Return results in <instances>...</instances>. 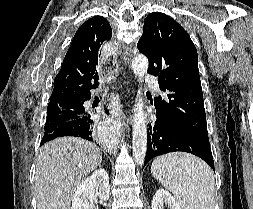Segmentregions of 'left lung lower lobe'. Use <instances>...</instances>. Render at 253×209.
Masks as SVG:
<instances>
[{
  "label": "left lung lower lobe",
  "instance_id": "obj_1",
  "mask_svg": "<svg viewBox=\"0 0 253 209\" xmlns=\"http://www.w3.org/2000/svg\"><path fill=\"white\" fill-rule=\"evenodd\" d=\"M178 151L188 152L200 157L215 172L209 143L180 132L157 117L155 123L149 124L144 166L156 156Z\"/></svg>",
  "mask_w": 253,
  "mask_h": 209
}]
</instances>
